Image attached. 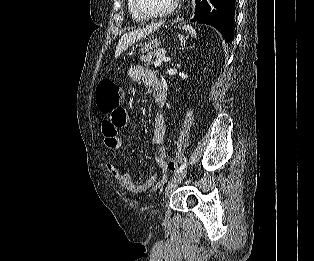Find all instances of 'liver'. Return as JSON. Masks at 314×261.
Listing matches in <instances>:
<instances>
[{"instance_id": "1", "label": "liver", "mask_w": 314, "mask_h": 261, "mask_svg": "<svg viewBox=\"0 0 314 261\" xmlns=\"http://www.w3.org/2000/svg\"><path fill=\"white\" fill-rule=\"evenodd\" d=\"M157 28L158 24H152L146 26V28L124 34L117 44L115 58H118L122 54V52L125 51L130 45H132L136 41L143 39Z\"/></svg>"}]
</instances>
